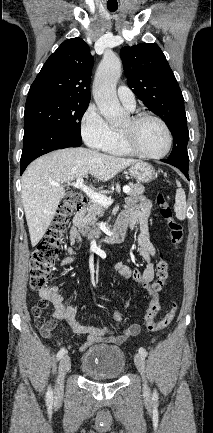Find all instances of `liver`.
Returning <instances> with one entry per match:
<instances>
[{
  "mask_svg": "<svg viewBox=\"0 0 213 433\" xmlns=\"http://www.w3.org/2000/svg\"><path fill=\"white\" fill-rule=\"evenodd\" d=\"M137 162L83 147L56 150L33 161L21 179L22 203L32 246L42 239L54 218L65 194L63 184L88 174L108 181Z\"/></svg>",
  "mask_w": 213,
  "mask_h": 433,
  "instance_id": "obj_1",
  "label": "liver"
}]
</instances>
